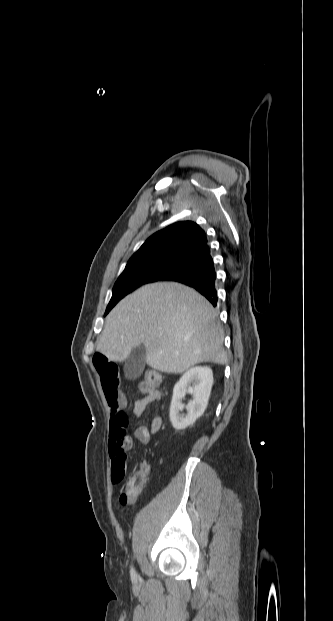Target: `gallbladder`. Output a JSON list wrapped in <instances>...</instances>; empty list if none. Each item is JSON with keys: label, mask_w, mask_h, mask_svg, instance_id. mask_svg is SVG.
Segmentation results:
<instances>
[{"label": "gallbladder", "mask_w": 333, "mask_h": 621, "mask_svg": "<svg viewBox=\"0 0 333 621\" xmlns=\"http://www.w3.org/2000/svg\"><path fill=\"white\" fill-rule=\"evenodd\" d=\"M146 361V350L143 345L135 347L125 360V375L135 379L142 373Z\"/></svg>", "instance_id": "obj_1"}]
</instances>
